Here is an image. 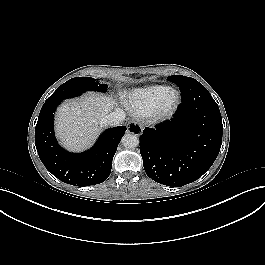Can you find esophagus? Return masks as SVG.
<instances>
[{
  "label": "esophagus",
  "instance_id": "34e87169",
  "mask_svg": "<svg viewBox=\"0 0 265 265\" xmlns=\"http://www.w3.org/2000/svg\"><path fill=\"white\" fill-rule=\"evenodd\" d=\"M142 126L141 124L137 123V122H131L128 124L127 127V132L128 133H132V134H136L139 135L142 133Z\"/></svg>",
  "mask_w": 265,
  "mask_h": 265
}]
</instances>
